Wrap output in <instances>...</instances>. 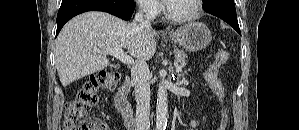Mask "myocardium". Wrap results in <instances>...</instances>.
Listing matches in <instances>:
<instances>
[{"label":"myocardium","mask_w":299,"mask_h":130,"mask_svg":"<svg viewBox=\"0 0 299 130\" xmlns=\"http://www.w3.org/2000/svg\"><path fill=\"white\" fill-rule=\"evenodd\" d=\"M194 1V5H193V9L183 15H173L169 12V4L168 2L164 3L163 9H164V15L167 19L173 21V22H177V23H184V22H188L191 21L193 19H195L200 11H201V7H202V1L201 0H193Z\"/></svg>","instance_id":"f54148a6"}]
</instances>
